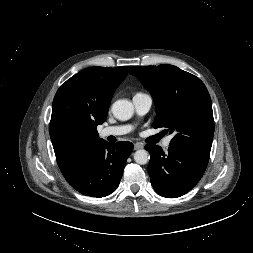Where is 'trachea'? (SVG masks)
Wrapping results in <instances>:
<instances>
[{
  "mask_svg": "<svg viewBox=\"0 0 253 253\" xmlns=\"http://www.w3.org/2000/svg\"><path fill=\"white\" fill-rule=\"evenodd\" d=\"M162 137V134H158L157 136H156V139H160Z\"/></svg>",
  "mask_w": 253,
  "mask_h": 253,
  "instance_id": "trachea-1",
  "label": "trachea"
}]
</instances>
